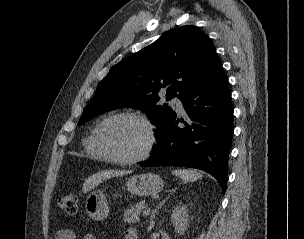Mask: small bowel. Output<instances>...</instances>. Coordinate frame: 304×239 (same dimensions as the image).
<instances>
[{
  "label": "small bowel",
  "mask_w": 304,
  "mask_h": 239,
  "mask_svg": "<svg viewBox=\"0 0 304 239\" xmlns=\"http://www.w3.org/2000/svg\"><path fill=\"white\" fill-rule=\"evenodd\" d=\"M78 233L70 228H60L55 233L54 239H77ZM84 239H97L92 233H86ZM124 239H138V234L135 229H128Z\"/></svg>",
  "instance_id": "obj_1"
}]
</instances>
